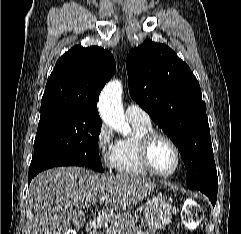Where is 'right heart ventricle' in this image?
Here are the masks:
<instances>
[{"label":"right heart ventricle","mask_w":241,"mask_h":234,"mask_svg":"<svg viewBox=\"0 0 241 234\" xmlns=\"http://www.w3.org/2000/svg\"><path fill=\"white\" fill-rule=\"evenodd\" d=\"M131 124L133 126L132 136L120 139L115 144L112 168L121 175L144 176L149 172L144 168L140 160V139L153 129L151 123L131 122Z\"/></svg>","instance_id":"e07e8e85"}]
</instances>
